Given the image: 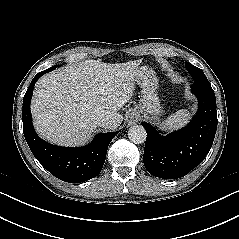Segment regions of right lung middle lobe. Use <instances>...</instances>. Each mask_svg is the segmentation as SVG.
<instances>
[{"mask_svg": "<svg viewBox=\"0 0 239 239\" xmlns=\"http://www.w3.org/2000/svg\"><path fill=\"white\" fill-rule=\"evenodd\" d=\"M56 68V66L50 67L48 68L50 71L54 70Z\"/></svg>", "mask_w": 239, "mask_h": 239, "instance_id": "1", "label": "right lung middle lobe"}]
</instances>
